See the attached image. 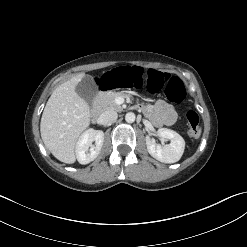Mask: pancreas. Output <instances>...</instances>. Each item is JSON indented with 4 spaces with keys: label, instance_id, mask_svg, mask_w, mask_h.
<instances>
[{
    "label": "pancreas",
    "instance_id": "cf45deb5",
    "mask_svg": "<svg viewBox=\"0 0 247 247\" xmlns=\"http://www.w3.org/2000/svg\"><path fill=\"white\" fill-rule=\"evenodd\" d=\"M119 96L124 98H129V96L124 93L107 92V93H101L99 95L98 103L100 107L104 110L113 109L116 111H122L123 107L115 103V98Z\"/></svg>",
    "mask_w": 247,
    "mask_h": 247
}]
</instances>
